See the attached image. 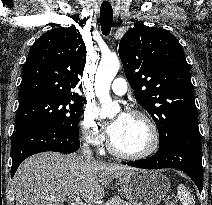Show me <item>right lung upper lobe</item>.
I'll use <instances>...</instances> for the list:
<instances>
[{
    "instance_id": "right-lung-upper-lobe-1",
    "label": "right lung upper lobe",
    "mask_w": 212,
    "mask_h": 205,
    "mask_svg": "<svg viewBox=\"0 0 212 205\" xmlns=\"http://www.w3.org/2000/svg\"><path fill=\"white\" fill-rule=\"evenodd\" d=\"M85 62V43L74 25L46 32L30 48L19 99L35 95L82 99L71 89L80 82Z\"/></svg>"
}]
</instances>
